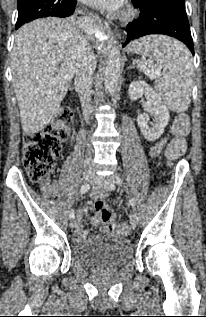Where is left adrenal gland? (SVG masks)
<instances>
[{
  "mask_svg": "<svg viewBox=\"0 0 206 317\" xmlns=\"http://www.w3.org/2000/svg\"><path fill=\"white\" fill-rule=\"evenodd\" d=\"M135 67H136V65L133 63V65L128 67V69H132V68H135Z\"/></svg>",
  "mask_w": 206,
  "mask_h": 317,
  "instance_id": "a2214340",
  "label": "left adrenal gland"
}]
</instances>
